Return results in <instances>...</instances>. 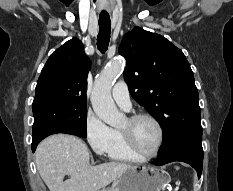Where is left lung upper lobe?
I'll list each match as a JSON object with an SVG mask.
<instances>
[{"mask_svg": "<svg viewBox=\"0 0 233 191\" xmlns=\"http://www.w3.org/2000/svg\"><path fill=\"white\" fill-rule=\"evenodd\" d=\"M118 52L127 60L124 77L132 97L164 132L160 154L182 136L202 133L198 90L183 52L165 37L135 27Z\"/></svg>", "mask_w": 233, "mask_h": 191, "instance_id": "left-lung-upper-lobe-1", "label": "left lung upper lobe"}]
</instances>
